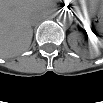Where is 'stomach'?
Listing matches in <instances>:
<instances>
[{
    "mask_svg": "<svg viewBox=\"0 0 103 103\" xmlns=\"http://www.w3.org/2000/svg\"><path fill=\"white\" fill-rule=\"evenodd\" d=\"M85 5L87 7L91 6L93 10H97L99 7L101 8V3L99 5V2H97V1L86 2Z\"/></svg>",
    "mask_w": 103,
    "mask_h": 103,
    "instance_id": "obj_1",
    "label": "stomach"
}]
</instances>
